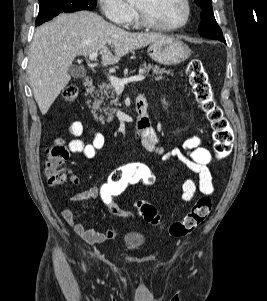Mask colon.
Listing matches in <instances>:
<instances>
[{"label":"colon","mask_w":267,"mask_h":301,"mask_svg":"<svg viewBox=\"0 0 267 301\" xmlns=\"http://www.w3.org/2000/svg\"><path fill=\"white\" fill-rule=\"evenodd\" d=\"M186 73L192 86L196 101L205 112L212 128L213 150L217 158L227 157L232 150L234 134L222 109L215 103L209 76L199 59H191ZM64 100L76 101L78 89L69 85L62 92ZM69 157L64 142L55 140L47 149L45 157V173L51 186L62 185L67 180L63 165ZM153 171L145 164L129 162L117 167L108 180L99 187V200L105 210L114 214L119 208L120 198L134 185H151L154 182ZM142 218L152 224L160 225L161 218L157 208L147 200H139L136 204ZM212 201L209 197H200L191 210L179 221L169 225L168 230L174 237H182L193 232L209 215Z\"/></svg>","instance_id":"colon-1"}]
</instances>
